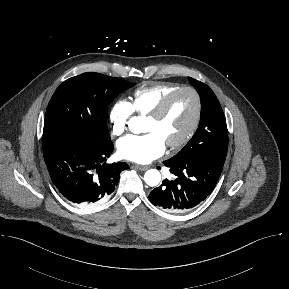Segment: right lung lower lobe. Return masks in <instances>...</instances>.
<instances>
[{
  "label": "right lung lower lobe",
  "mask_w": 289,
  "mask_h": 289,
  "mask_svg": "<svg viewBox=\"0 0 289 289\" xmlns=\"http://www.w3.org/2000/svg\"><path fill=\"white\" fill-rule=\"evenodd\" d=\"M114 149L80 139H64L43 147L50 177L59 192L75 204H92L108 197L129 168L126 163H103Z\"/></svg>",
  "instance_id": "98d812e1"
}]
</instances>
